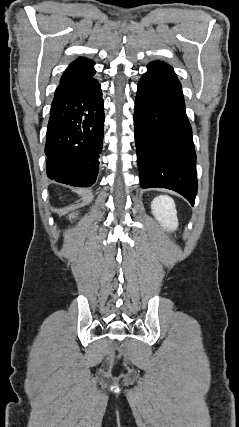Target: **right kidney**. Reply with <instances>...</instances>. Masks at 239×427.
Listing matches in <instances>:
<instances>
[{
  "label": "right kidney",
  "instance_id": "ca27d5eb",
  "mask_svg": "<svg viewBox=\"0 0 239 427\" xmlns=\"http://www.w3.org/2000/svg\"><path fill=\"white\" fill-rule=\"evenodd\" d=\"M75 216H74V214H71L70 216H69V218L71 219V218H74Z\"/></svg>",
  "mask_w": 239,
  "mask_h": 427
}]
</instances>
